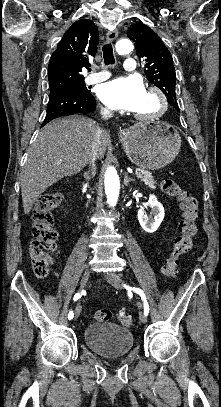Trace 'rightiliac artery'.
<instances>
[{"instance_id": "1", "label": "right iliac artery", "mask_w": 221, "mask_h": 407, "mask_svg": "<svg viewBox=\"0 0 221 407\" xmlns=\"http://www.w3.org/2000/svg\"><path fill=\"white\" fill-rule=\"evenodd\" d=\"M84 290H82V292L81 293H76L75 295H74V301H77L83 294H84ZM73 316H74V314H73V311H70L69 312V314H68V319L69 320H71L72 318H73Z\"/></svg>"}]
</instances>
